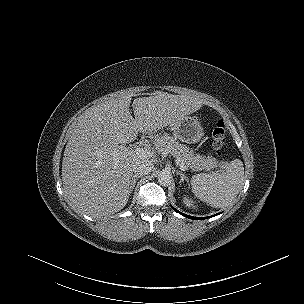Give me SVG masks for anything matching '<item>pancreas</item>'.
Here are the masks:
<instances>
[{
  "label": "pancreas",
  "instance_id": "pancreas-1",
  "mask_svg": "<svg viewBox=\"0 0 304 304\" xmlns=\"http://www.w3.org/2000/svg\"><path fill=\"white\" fill-rule=\"evenodd\" d=\"M154 143L160 152L171 154L178 165L182 164L193 171H210L214 168L224 167L223 162H220L214 157L195 154L193 150H190L185 144L179 143L168 134H163L158 137Z\"/></svg>",
  "mask_w": 304,
  "mask_h": 304
}]
</instances>
